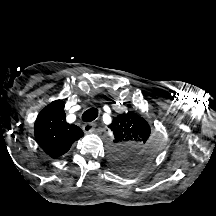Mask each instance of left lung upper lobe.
I'll list each match as a JSON object with an SVG mask.
<instances>
[{
    "label": "left lung upper lobe",
    "mask_w": 216,
    "mask_h": 216,
    "mask_svg": "<svg viewBox=\"0 0 216 216\" xmlns=\"http://www.w3.org/2000/svg\"><path fill=\"white\" fill-rule=\"evenodd\" d=\"M109 128L114 134L110 159L114 168L125 175L139 172L156 155L158 136L137 112L128 111L113 117Z\"/></svg>",
    "instance_id": "5c2ea615"
}]
</instances>
